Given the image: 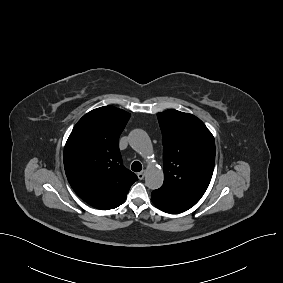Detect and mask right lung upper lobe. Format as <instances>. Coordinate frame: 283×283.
Instances as JSON below:
<instances>
[{"label":"right lung upper lobe","instance_id":"1","mask_svg":"<svg viewBox=\"0 0 283 283\" xmlns=\"http://www.w3.org/2000/svg\"><path fill=\"white\" fill-rule=\"evenodd\" d=\"M130 113L104 106L85 114L64 148L67 179L89 205L109 210L121 205L137 176L122 164L119 136Z\"/></svg>","mask_w":283,"mask_h":283}]
</instances>
